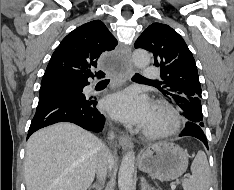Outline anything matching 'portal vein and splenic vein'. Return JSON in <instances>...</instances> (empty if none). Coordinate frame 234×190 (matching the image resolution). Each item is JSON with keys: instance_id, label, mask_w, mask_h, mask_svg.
Masks as SVG:
<instances>
[{"instance_id": "portal-vein-and-splenic-vein-1", "label": "portal vein and splenic vein", "mask_w": 234, "mask_h": 190, "mask_svg": "<svg viewBox=\"0 0 234 190\" xmlns=\"http://www.w3.org/2000/svg\"><path fill=\"white\" fill-rule=\"evenodd\" d=\"M171 188H172V189H175V186H172Z\"/></svg>"}]
</instances>
